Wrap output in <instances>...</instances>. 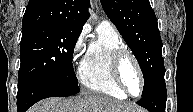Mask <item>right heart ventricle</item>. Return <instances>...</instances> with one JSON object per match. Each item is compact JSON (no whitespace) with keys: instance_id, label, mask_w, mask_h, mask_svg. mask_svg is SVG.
Wrapping results in <instances>:
<instances>
[{"instance_id":"obj_1","label":"right heart ventricle","mask_w":193,"mask_h":112,"mask_svg":"<svg viewBox=\"0 0 193 112\" xmlns=\"http://www.w3.org/2000/svg\"><path fill=\"white\" fill-rule=\"evenodd\" d=\"M124 47L121 35L113 27L100 25L80 65L81 84L92 92L126 99L127 95L114 82L110 69L113 53Z\"/></svg>"}]
</instances>
